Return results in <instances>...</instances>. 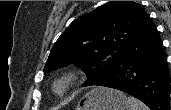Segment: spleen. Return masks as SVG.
Masks as SVG:
<instances>
[{"mask_svg":"<svg viewBox=\"0 0 171 110\" xmlns=\"http://www.w3.org/2000/svg\"><path fill=\"white\" fill-rule=\"evenodd\" d=\"M127 104L128 110H149L145 104L132 96L127 98Z\"/></svg>","mask_w":171,"mask_h":110,"instance_id":"obj_1","label":"spleen"}]
</instances>
